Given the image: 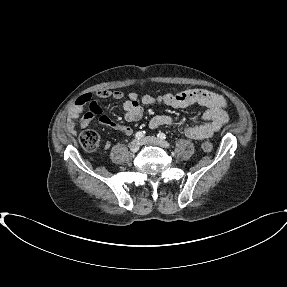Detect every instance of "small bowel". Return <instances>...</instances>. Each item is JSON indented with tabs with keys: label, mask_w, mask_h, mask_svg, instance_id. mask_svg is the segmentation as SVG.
<instances>
[{
	"label": "small bowel",
	"mask_w": 287,
	"mask_h": 287,
	"mask_svg": "<svg viewBox=\"0 0 287 287\" xmlns=\"http://www.w3.org/2000/svg\"><path fill=\"white\" fill-rule=\"evenodd\" d=\"M96 98H112L117 101H123L124 118L129 122L138 121L142 117L143 109L141 104L163 103L173 108H185L193 104L202 105L205 107L202 123L198 126H185L182 130L185 136L194 140L211 137L228 121V115L225 111V99L218 94L204 90H186L177 94L166 93L160 96L145 94L141 97H139L137 92L131 91L127 94L126 99L122 91L101 90L95 94H84L76 99L67 121V130L70 133L74 134L77 126L80 129H84L94 119H97L103 126L112 128L127 136L132 134L133 130L131 127L119 125L106 116ZM85 105H89V111L81 116ZM172 124L173 120L165 115L154 116L149 122V126L152 129ZM105 147L109 148L110 144L106 143Z\"/></svg>",
	"instance_id": "small-bowel-1"
}]
</instances>
